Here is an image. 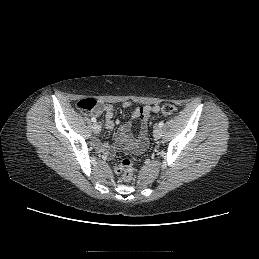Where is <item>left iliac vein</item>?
I'll use <instances>...</instances> for the list:
<instances>
[{
  "label": "left iliac vein",
  "instance_id": "obj_1",
  "mask_svg": "<svg viewBox=\"0 0 259 259\" xmlns=\"http://www.w3.org/2000/svg\"><path fill=\"white\" fill-rule=\"evenodd\" d=\"M153 136L155 139H159L162 136V129L161 127H156L153 131Z\"/></svg>",
  "mask_w": 259,
  "mask_h": 259
}]
</instances>
